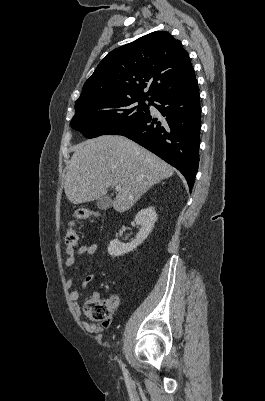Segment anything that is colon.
I'll return each mask as SVG.
<instances>
[{
    "instance_id": "obj_1",
    "label": "colon",
    "mask_w": 265,
    "mask_h": 401,
    "mask_svg": "<svg viewBox=\"0 0 265 401\" xmlns=\"http://www.w3.org/2000/svg\"><path fill=\"white\" fill-rule=\"evenodd\" d=\"M77 219H87L93 216L88 209H78L74 213ZM77 244V232L74 225L71 224L66 232L65 247L69 250L75 248ZM118 306V299L112 297L109 299L91 298L84 305V311L89 319L94 322H107Z\"/></svg>"
}]
</instances>
